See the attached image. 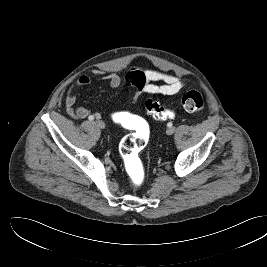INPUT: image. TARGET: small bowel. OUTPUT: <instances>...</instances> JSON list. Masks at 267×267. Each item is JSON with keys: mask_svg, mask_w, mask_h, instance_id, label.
<instances>
[{"mask_svg": "<svg viewBox=\"0 0 267 267\" xmlns=\"http://www.w3.org/2000/svg\"><path fill=\"white\" fill-rule=\"evenodd\" d=\"M97 77L105 81L112 89L118 88L122 82L120 76L116 73L102 74L99 72ZM126 82L135 89L133 100H136L141 92L174 95L185 85V81L177 75L144 69L131 71L126 76ZM90 84L91 79L88 76H80L69 87L65 99V108L71 117L78 119L89 118L90 116L96 119L101 118V114L98 112H92L83 106H76L78 90Z\"/></svg>", "mask_w": 267, "mask_h": 267, "instance_id": "obj_1", "label": "small bowel"}]
</instances>
